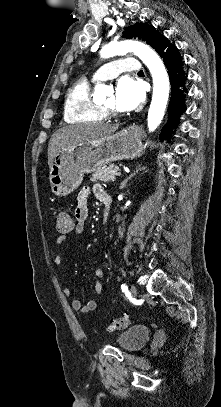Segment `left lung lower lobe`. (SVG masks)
I'll list each match as a JSON object with an SVG mask.
<instances>
[{"label":"left lung lower lobe","instance_id":"0a47b994","mask_svg":"<svg viewBox=\"0 0 221 407\" xmlns=\"http://www.w3.org/2000/svg\"><path fill=\"white\" fill-rule=\"evenodd\" d=\"M157 53L168 69L171 84V100L168 106V124L163 126L160 139L170 141L173 129L177 128L181 114L186 110L185 95L187 93V75L179 50L164 35L159 39Z\"/></svg>","mask_w":221,"mask_h":407}]
</instances>
